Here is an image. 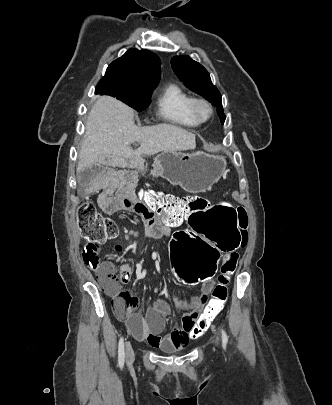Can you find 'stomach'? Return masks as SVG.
<instances>
[{
    "label": "stomach",
    "mask_w": 332,
    "mask_h": 405,
    "mask_svg": "<svg viewBox=\"0 0 332 405\" xmlns=\"http://www.w3.org/2000/svg\"><path fill=\"white\" fill-rule=\"evenodd\" d=\"M155 171L174 185L187 192L199 193L209 190L226 170L222 155L162 152L154 159Z\"/></svg>",
    "instance_id": "stomach-1"
}]
</instances>
